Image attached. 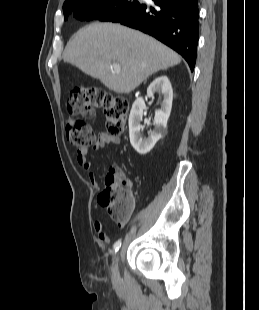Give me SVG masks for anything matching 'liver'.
Here are the masks:
<instances>
[{
    "label": "liver",
    "mask_w": 259,
    "mask_h": 310,
    "mask_svg": "<svg viewBox=\"0 0 259 310\" xmlns=\"http://www.w3.org/2000/svg\"><path fill=\"white\" fill-rule=\"evenodd\" d=\"M63 60L121 94L181 62L176 52L153 37L113 23H93L80 29L67 43ZM112 62L121 69L115 70Z\"/></svg>",
    "instance_id": "obj_1"
}]
</instances>
